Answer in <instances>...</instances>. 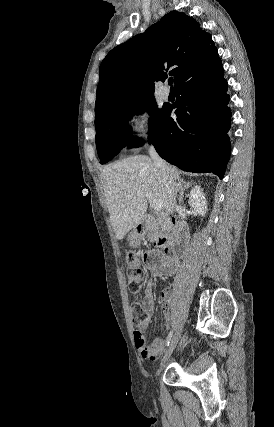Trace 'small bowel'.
Wrapping results in <instances>:
<instances>
[{"label": "small bowel", "instance_id": "small-bowel-1", "mask_svg": "<svg viewBox=\"0 0 274 427\" xmlns=\"http://www.w3.org/2000/svg\"><path fill=\"white\" fill-rule=\"evenodd\" d=\"M167 250L168 249L164 250L163 252H160L156 249H149L145 253L147 267L153 272L154 275L166 277L171 276L176 272L179 261L176 256L167 253ZM161 297L163 311L167 321L169 322V292H162ZM141 306L144 311V318L135 324L134 338L140 356L143 359L154 360L166 348V341L164 338H159L149 345L147 344V341L143 335V333L148 329L154 313V294L150 282H147V284L145 285Z\"/></svg>", "mask_w": 274, "mask_h": 427}]
</instances>
